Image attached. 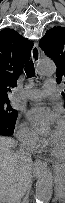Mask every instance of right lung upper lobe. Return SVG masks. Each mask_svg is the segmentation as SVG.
<instances>
[{
    "instance_id": "cb5924a9",
    "label": "right lung upper lobe",
    "mask_w": 65,
    "mask_h": 203,
    "mask_svg": "<svg viewBox=\"0 0 65 203\" xmlns=\"http://www.w3.org/2000/svg\"><path fill=\"white\" fill-rule=\"evenodd\" d=\"M33 42L13 29L0 31V99L16 86L24 63L30 58Z\"/></svg>"
}]
</instances>
